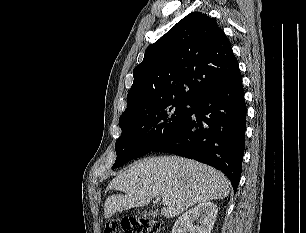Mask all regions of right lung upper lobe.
Listing matches in <instances>:
<instances>
[{
  "instance_id": "cb5924a9",
  "label": "right lung upper lobe",
  "mask_w": 306,
  "mask_h": 233,
  "mask_svg": "<svg viewBox=\"0 0 306 233\" xmlns=\"http://www.w3.org/2000/svg\"><path fill=\"white\" fill-rule=\"evenodd\" d=\"M239 74L223 30L207 14L192 12L146 49L143 61L133 70L122 115L164 99L197 104Z\"/></svg>"
}]
</instances>
